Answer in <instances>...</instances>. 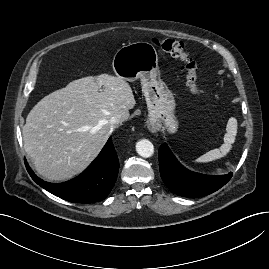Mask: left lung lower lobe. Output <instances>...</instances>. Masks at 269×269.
Returning a JSON list of instances; mask_svg holds the SVG:
<instances>
[{"instance_id": "0a47b994", "label": "left lung lower lobe", "mask_w": 269, "mask_h": 269, "mask_svg": "<svg viewBox=\"0 0 269 269\" xmlns=\"http://www.w3.org/2000/svg\"><path fill=\"white\" fill-rule=\"evenodd\" d=\"M159 168L165 185L175 194L184 197H202L224 186L232 177V172L210 176L191 172L174 157L167 144L159 148Z\"/></svg>"}]
</instances>
